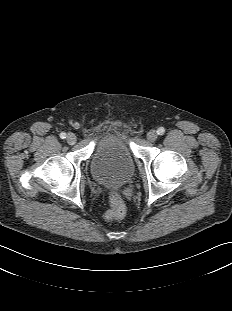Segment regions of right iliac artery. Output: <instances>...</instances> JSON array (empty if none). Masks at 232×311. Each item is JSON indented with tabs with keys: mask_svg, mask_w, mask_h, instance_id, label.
Here are the masks:
<instances>
[{
	"mask_svg": "<svg viewBox=\"0 0 232 311\" xmlns=\"http://www.w3.org/2000/svg\"><path fill=\"white\" fill-rule=\"evenodd\" d=\"M60 137H61L62 139H65V138H66V133H64V132L60 133Z\"/></svg>",
	"mask_w": 232,
	"mask_h": 311,
	"instance_id": "82829eb1",
	"label": "right iliac artery"
}]
</instances>
